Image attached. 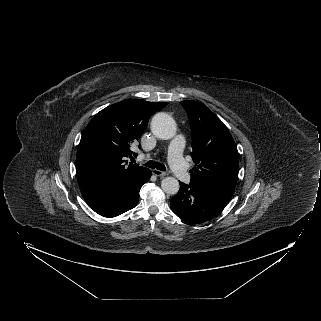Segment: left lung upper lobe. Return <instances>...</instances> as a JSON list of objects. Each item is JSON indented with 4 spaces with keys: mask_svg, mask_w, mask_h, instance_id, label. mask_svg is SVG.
Wrapping results in <instances>:
<instances>
[{
    "mask_svg": "<svg viewBox=\"0 0 321 321\" xmlns=\"http://www.w3.org/2000/svg\"><path fill=\"white\" fill-rule=\"evenodd\" d=\"M192 130V159L195 162L191 182L236 186L238 151L224 123L203 103L181 102Z\"/></svg>",
    "mask_w": 321,
    "mask_h": 321,
    "instance_id": "obj_1",
    "label": "left lung upper lobe"
}]
</instances>
